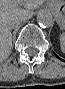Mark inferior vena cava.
Listing matches in <instances>:
<instances>
[{
    "label": "inferior vena cava",
    "instance_id": "1",
    "mask_svg": "<svg viewBox=\"0 0 65 89\" xmlns=\"http://www.w3.org/2000/svg\"><path fill=\"white\" fill-rule=\"evenodd\" d=\"M25 19H26V17H22V18H20V19H17V20L13 23V26L19 24L20 21H23V20H25Z\"/></svg>",
    "mask_w": 65,
    "mask_h": 89
}]
</instances>
